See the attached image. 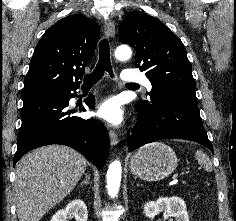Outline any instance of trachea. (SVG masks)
I'll list each match as a JSON object with an SVG mask.
<instances>
[{"label": "trachea", "instance_id": "3493384b", "mask_svg": "<svg viewBox=\"0 0 236 221\" xmlns=\"http://www.w3.org/2000/svg\"><path fill=\"white\" fill-rule=\"evenodd\" d=\"M108 72L113 77L112 65L110 62V48L107 39H103L99 43V61L92 73L84 76L83 86H93ZM132 84V83H130Z\"/></svg>", "mask_w": 236, "mask_h": 221}]
</instances>
